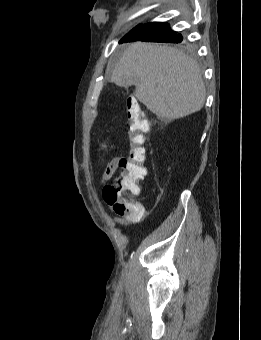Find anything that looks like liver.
Segmentation results:
<instances>
[{
	"instance_id": "obj_1",
	"label": "liver",
	"mask_w": 261,
	"mask_h": 340,
	"mask_svg": "<svg viewBox=\"0 0 261 340\" xmlns=\"http://www.w3.org/2000/svg\"><path fill=\"white\" fill-rule=\"evenodd\" d=\"M111 82L135 85V96L159 119L174 120L199 111L206 98L197 63L167 45L135 42L115 65Z\"/></svg>"
}]
</instances>
